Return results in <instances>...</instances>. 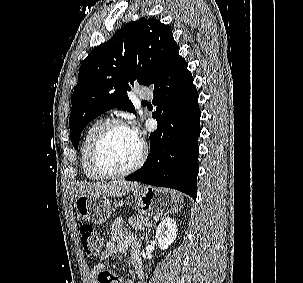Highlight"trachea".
Segmentation results:
<instances>
[{"instance_id":"trachea-1","label":"trachea","mask_w":303,"mask_h":283,"mask_svg":"<svg viewBox=\"0 0 303 283\" xmlns=\"http://www.w3.org/2000/svg\"><path fill=\"white\" fill-rule=\"evenodd\" d=\"M142 103H147V101L144 100V101H142Z\"/></svg>"}]
</instances>
